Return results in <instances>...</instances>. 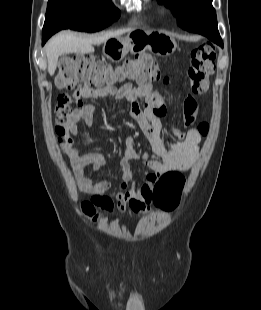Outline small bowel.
<instances>
[{
	"instance_id": "obj_1",
	"label": "small bowel",
	"mask_w": 261,
	"mask_h": 310,
	"mask_svg": "<svg viewBox=\"0 0 261 310\" xmlns=\"http://www.w3.org/2000/svg\"><path fill=\"white\" fill-rule=\"evenodd\" d=\"M76 108L65 122V144L67 147L71 170L80 191L88 194L101 195L110 189L111 183L103 176L97 181L84 176L87 167L95 172L103 167L106 157L98 152L80 153L75 146L73 137L78 134V123L86 125L92 123L94 108L84 104L86 98H109L115 101L126 99L131 103V115L146 136L150 144V152L140 154L135 149L134 139L127 137L124 141V155L120 161L122 183L116 194L117 207L120 211L127 208L136 214L147 213L151 210L153 191L157 182L166 172H186L194 164L199 155V145L202 135L195 128L187 132L175 131L176 141L165 143L161 134L160 117L165 114L160 95L153 93L148 84L135 87L125 84L120 88H92L88 85L78 86L73 93ZM141 98H150V103L142 107ZM198 102L193 95H188L184 101L183 124L191 127L196 118ZM154 155L158 159H150ZM142 159L147 169L146 179L143 184L135 187L133 184L134 172L130 161ZM129 184H131L130 187Z\"/></svg>"
}]
</instances>
